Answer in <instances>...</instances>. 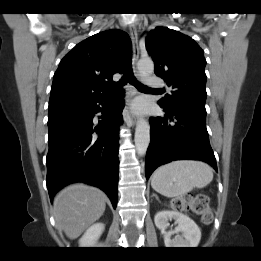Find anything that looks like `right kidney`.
Here are the masks:
<instances>
[{
  "mask_svg": "<svg viewBox=\"0 0 261 261\" xmlns=\"http://www.w3.org/2000/svg\"><path fill=\"white\" fill-rule=\"evenodd\" d=\"M103 230L104 224L102 223H95L90 226L79 240L80 246L92 247L101 236Z\"/></svg>",
  "mask_w": 261,
  "mask_h": 261,
  "instance_id": "ca27d5eb",
  "label": "right kidney"
}]
</instances>
